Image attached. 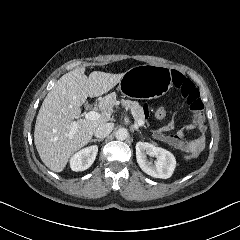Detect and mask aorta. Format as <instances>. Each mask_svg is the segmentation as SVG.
I'll return each instance as SVG.
<instances>
[{
	"mask_svg": "<svg viewBox=\"0 0 240 240\" xmlns=\"http://www.w3.org/2000/svg\"><path fill=\"white\" fill-rule=\"evenodd\" d=\"M128 136H129V133L126 128H119L115 133L116 139L120 141L127 139Z\"/></svg>",
	"mask_w": 240,
	"mask_h": 240,
	"instance_id": "obj_1",
	"label": "aorta"
}]
</instances>
